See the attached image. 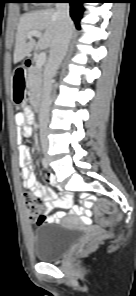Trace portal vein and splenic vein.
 <instances>
[{
  "label": "portal vein and splenic vein",
  "instance_id": "obj_1",
  "mask_svg": "<svg viewBox=\"0 0 136 296\" xmlns=\"http://www.w3.org/2000/svg\"><path fill=\"white\" fill-rule=\"evenodd\" d=\"M33 36L40 38L42 36V33L40 31H30L28 33V37H33ZM45 61H46V53L42 51L37 56L36 66L38 68H41L44 65Z\"/></svg>",
  "mask_w": 136,
  "mask_h": 296
}]
</instances>
